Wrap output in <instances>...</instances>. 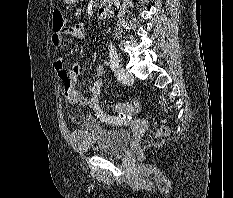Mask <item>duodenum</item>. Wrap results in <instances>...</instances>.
Here are the masks:
<instances>
[{"instance_id":"410a0bca","label":"duodenum","mask_w":233,"mask_h":198,"mask_svg":"<svg viewBox=\"0 0 233 198\" xmlns=\"http://www.w3.org/2000/svg\"><path fill=\"white\" fill-rule=\"evenodd\" d=\"M111 4H112V0H101L100 1L99 7L97 10L98 19L102 20V19L106 18L107 14L110 10Z\"/></svg>"}]
</instances>
